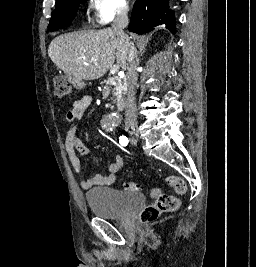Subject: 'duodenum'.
<instances>
[{
  "mask_svg": "<svg viewBox=\"0 0 256 267\" xmlns=\"http://www.w3.org/2000/svg\"><path fill=\"white\" fill-rule=\"evenodd\" d=\"M67 82L72 83V86H75V88H86L85 81H81L80 77H71V75H68ZM127 107V104L125 101L119 100L117 103V108L120 112H125Z\"/></svg>",
  "mask_w": 256,
  "mask_h": 267,
  "instance_id": "duodenum-1",
  "label": "duodenum"
}]
</instances>
